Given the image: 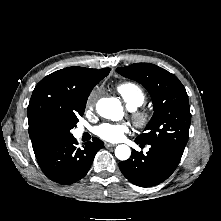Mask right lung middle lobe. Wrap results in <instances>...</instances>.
<instances>
[{
    "mask_svg": "<svg viewBox=\"0 0 221 221\" xmlns=\"http://www.w3.org/2000/svg\"><path fill=\"white\" fill-rule=\"evenodd\" d=\"M86 101L81 103L78 107H76L74 110H71L65 121V125L62 128V137H70L72 134L70 133V130L73 129L76 126V123L78 122V116H82L85 110Z\"/></svg>",
    "mask_w": 221,
    "mask_h": 221,
    "instance_id": "obj_1",
    "label": "right lung middle lobe"
}]
</instances>
